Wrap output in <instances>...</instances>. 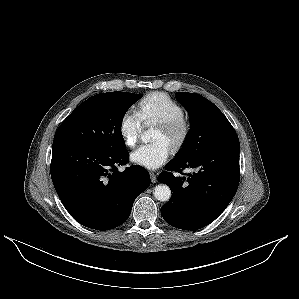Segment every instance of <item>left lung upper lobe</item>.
<instances>
[{"label": "left lung upper lobe", "mask_w": 299, "mask_h": 299, "mask_svg": "<svg viewBox=\"0 0 299 299\" xmlns=\"http://www.w3.org/2000/svg\"><path fill=\"white\" fill-rule=\"evenodd\" d=\"M190 114V131L177 160L196 157L231 137L237 136L224 114L211 101L195 93H176Z\"/></svg>", "instance_id": "1"}]
</instances>
